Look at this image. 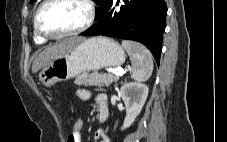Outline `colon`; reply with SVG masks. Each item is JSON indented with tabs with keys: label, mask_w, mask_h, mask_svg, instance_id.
Here are the masks:
<instances>
[{
	"label": "colon",
	"mask_w": 227,
	"mask_h": 142,
	"mask_svg": "<svg viewBox=\"0 0 227 142\" xmlns=\"http://www.w3.org/2000/svg\"><path fill=\"white\" fill-rule=\"evenodd\" d=\"M83 129H84L83 120L80 117H76L73 121L71 134L78 136V135L82 134Z\"/></svg>",
	"instance_id": "colon-1"
}]
</instances>
